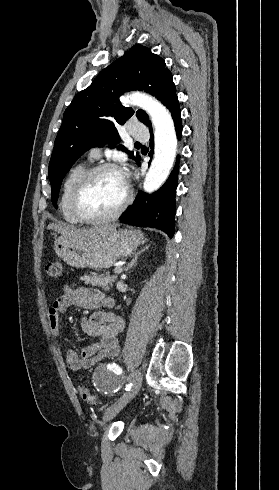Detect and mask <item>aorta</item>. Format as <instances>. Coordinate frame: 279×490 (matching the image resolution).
<instances>
[{
    "mask_svg": "<svg viewBox=\"0 0 279 490\" xmlns=\"http://www.w3.org/2000/svg\"><path fill=\"white\" fill-rule=\"evenodd\" d=\"M124 106H138L145 110L154 126V157L146 174L143 189L147 193L158 190L168 178L177 150V137L171 114L158 100L133 93L121 97Z\"/></svg>",
    "mask_w": 279,
    "mask_h": 490,
    "instance_id": "obj_1",
    "label": "aorta"
}]
</instances>
